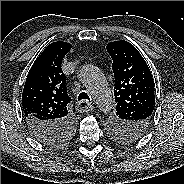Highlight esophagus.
I'll return each mask as SVG.
<instances>
[{
	"mask_svg": "<svg viewBox=\"0 0 184 184\" xmlns=\"http://www.w3.org/2000/svg\"><path fill=\"white\" fill-rule=\"evenodd\" d=\"M84 104V105H83ZM93 105L85 100L77 102V110L79 112H88L93 110Z\"/></svg>",
	"mask_w": 184,
	"mask_h": 184,
	"instance_id": "34e87169",
	"label": "esophagus"
}]
</instances>
